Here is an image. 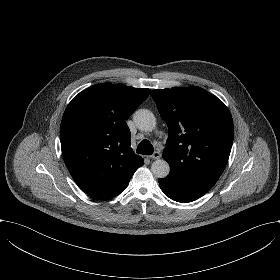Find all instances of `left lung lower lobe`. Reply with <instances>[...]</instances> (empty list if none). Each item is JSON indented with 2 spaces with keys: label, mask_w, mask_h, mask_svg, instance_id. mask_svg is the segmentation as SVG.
I'll use <instances>...</instances> for the list:
<instances>
[{
  "label": "left lung lower lobe",
  "mask_w": 280,
  "mask_h": 280,
  "mask_svg": "<svg viewBox=\"0 0 280 280\" xmlns=\"http://www.w3.org/2000/svg\"><path fill=\"white\" fill-rule=\"evenodd\" d=\"M159 185L165 195L181 203L191 202L200 198L212 187L210 184L200 183L181 185L176 180L169 177L159 179Z\"/></svg>",
  "instance_id": "left-lung-lower-lobe-1"
}]
</instances>
